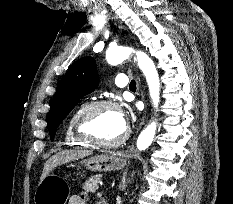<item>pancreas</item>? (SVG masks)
<instances>
[{
	"instance_id": "1",
	"label": "pancreas",
	"mask_w": 233,
	"mask_h": 204,
	"mask_svg": "<svg viewBox=\"0 0 233 204\" xmlns=\"http://www.w3.org/2000/svg\"><path fill=\"white\" fill-rule=\"evenodd\" d=\"M101 177L102 176L100 174L92 176L84 183L83 189L86 192L95 193L98 189V183L101 180Z\"/></svg>"
}]
</instances>
